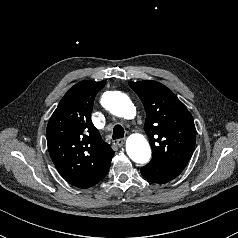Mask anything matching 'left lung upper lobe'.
<instances>
[{"instance_id":"5c2ea615","label":"left lung upper lobe","mask_w":238,"mask_h":238,"mask_svg":"<svg viewBox=\"0 0 238 238\" xmlns=\"http://www.w3.org/2000/svg\"><path fill=\"white\" fill-rule=\"evenodd\" d=\"M129 85L146 111L144 130L152 148L150 162L183 170L196 142L191 113L170 89L159 82L146 80L129 82Z\"/></svg>"}]
</instances>
